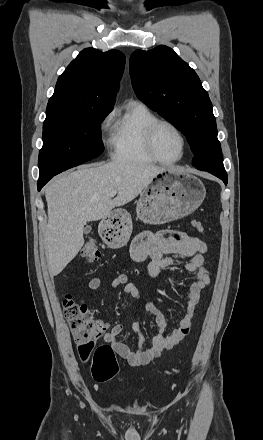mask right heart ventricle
Masks as SVG:
<instances>
[{"label":"right heart ventricle","instance_id":"obj_1","mask_svg":"<svg viewBox=\"0 0 263 440\" xmlns=\"http://www.w3.org/2000/svg\"><path fill=\"white\" fill-rule=\"evenodd\" d=\"M157 116L144 104L133 102L116 121L111 136V156L127 163H152L147 153L144 135L147 127Z\"/></svg>","mask_w":263,"mask_h":440}]
</instances>
